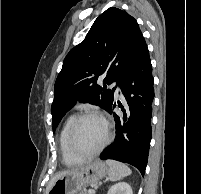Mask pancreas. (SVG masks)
<instances>
[{"label":"pancreas","mask_w":201,"mask_h":194,"mask_svg":"<svg viewBox=\"0 0 201 194\" xmlns=\"http://www.w3.org/2000/svg\"><path fill=\"white\" fill-rule=\"evenodd\" d=\"M80 194H89L86 190H84L83 192H81Z\"/></svg>","instance_id":"pancreas-1"}]
</instances>
